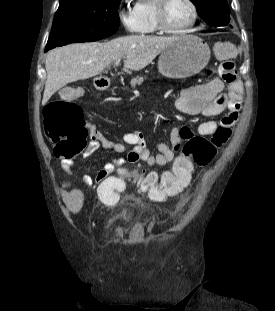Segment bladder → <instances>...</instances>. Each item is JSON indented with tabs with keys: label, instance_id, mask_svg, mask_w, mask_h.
<instances>
[{
	"label": "bladder",
	"instance_id": "bladder-1",
	"mask_svg": "<svg viewBox=\"0 0 275 311\" xmlns=\"http://www.w3.org/2000/svg\"><path fill=\"white\" fill-rule=\"evenodd\" d=\"M134 219V213L130 208H123L112 213L107 219L106 227L114 228L119 224H128Z\"/></svg>",
	"mask_w": 275,
	"mask_h": 311
}]
</instances>
